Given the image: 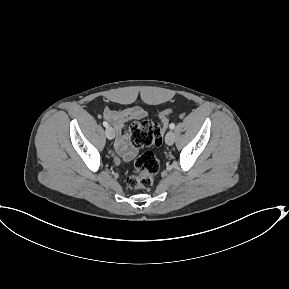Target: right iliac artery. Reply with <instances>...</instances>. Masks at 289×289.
<instances>
[{
	"label": "right iliac artery",
	"mask_w": 289,
	"mask_h": 289,
	"mask_svg": "<svg viewBox=\"0 0 289 289\" xmlns=\"http://www.w3.org/2000/svg\"><path fill=\"white\" fill-rule=\"evenodd\" d=\"M108 125H109V124H108L106 121L103 122V126H104V127H108Z\"/></svg>",
	"instance_id": "obj_1"
}]
</instances>
